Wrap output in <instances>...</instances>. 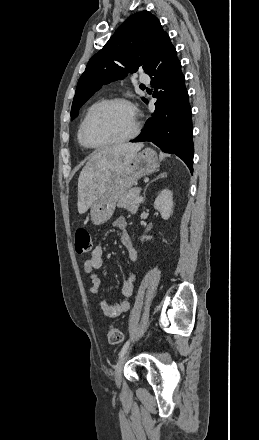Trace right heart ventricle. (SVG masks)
Here are the masks:
<instances>
[{"label": "right heart ventricle", "mask_w": 259, "mask_h": 440, "mask_svg": "<svg viewBox=\"0 0 259 440\" xmlns=\"http://www.w3.org/2000/svg\"><path fill=\"white\" fill-rule=\"evenodd\" d=\"M95 104H97V103L94 102V103L90 104V105L87 107V109H86V111H85V113H84V115H83V117H82V119H81V121H80V124H79V126H78V129H77V141H78V143H79L83 148H86V147H85L84 144L82 143V140H81V137H80V128H81V124H82L83 119L85 118L86 114L89 112V110H90Z\"/></svg>", "instance_id": "1"}]
</instances>
